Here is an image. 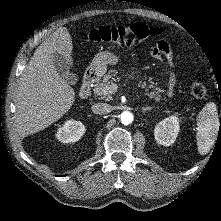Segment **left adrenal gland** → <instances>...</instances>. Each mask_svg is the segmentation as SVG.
Here are the masks:
<instances>
[{
    "label": "left adrenal gland",
    "mask_w": 221,
    "mask_h": 221,
    "mask_svg": "<svg viewBox=\"0 0 221 221\" xmlns=\"http://www.w3.org/2000/svg\"><path fill=\"white\" fill-rule=\"evenodd\" d=\"M152 110V107H143L142 112L145 113L146 111Z\"/></svg>",
    "instance_id": "a2214340"
}]
</instances>
